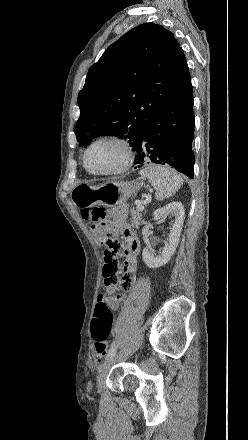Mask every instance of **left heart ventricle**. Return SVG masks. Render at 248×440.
<instances>
[{"label":"left heart ventricle","instance_id":"b2bd125f","mask_svg":"<svg viewBox=\"0 0 248 440\" xmlns=\"http://www.w3.org/2000/svg\"><path fill=\"white\" fill-rule=\"evenodd\" d=\"M121 147L113 142L95 145L88 153L87 165L93 171H105L119 165L122 160Z\"/></svg>","mask_w":248,"mask_h":440}]
</instances>
